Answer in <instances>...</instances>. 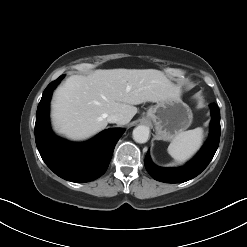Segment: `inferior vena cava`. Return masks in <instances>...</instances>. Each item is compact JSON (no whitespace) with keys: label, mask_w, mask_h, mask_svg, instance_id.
<instances>
[{"label":"inferior vena cava","mask_w":247,"mask_h":247,"mask_svg":"<svg viewBox=\"0 0 247 247\" xmlns=\"http://www.w3.org/2000/svg\"><path fill=\"white\" fill-rule=\"evenodd\" d=\"M109 123L125 124L126 118L121 113H113L107 117Z\"/></svg>","instance_id":"obj_1"}]
</instances>
